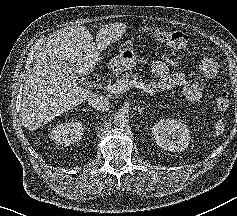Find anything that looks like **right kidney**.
Here are the masks:
<instances>
[{
  "label": "right kidney",
  "instance_id": "ca27d5eb",
  "mask_svg": "<svg viewBox=\"0 0 237 216\" xmlns=\"http://www.w3.org/2000/svg\"><path fill=\"white\" fill-rule=\"evenodd\" d=\"M73 138H74V139L72 140V142H74V141H76V140H79L81 137H78V135H75Z\"/></svg>",
  "mask_w": 237,
  "mask_h": 216
}]
</instances>
